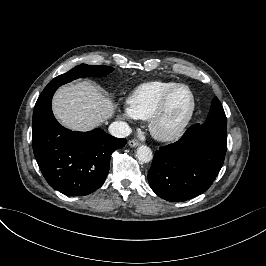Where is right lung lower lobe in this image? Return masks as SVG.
I'll list each match as a JSON object with an SVG mask.
<instances>
[{
  "instance_id": "right-lung-lower-lobe-1",
  "label": "right lung lower lobe",
  "mask_w": 266,
  "mask_h": 266,
  "mask_svg": "<svg viewBox=\"0 0 266 266\" xmlns=\"http://www.w3.org/2000/svg\"><path fill=\"white\" fill-rule=\"evenodd\" d=\"M60 85L45 87L33 112V151L48 184L68 196L94 192L105 181L113 151L127 143L101 129L75 132L55 119L51 100Z\"/></svg>"
}]
</instances>
